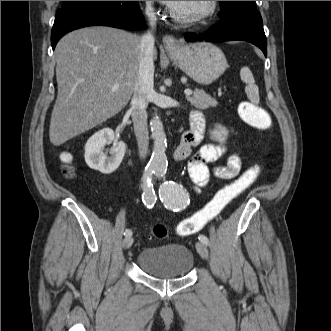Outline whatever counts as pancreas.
<instances>
[{
  "instance_id": "obj_1",
  "label": "pancreas",
  "mask_w": 331,
  "mask_h": 331,
  "mask_svg": "<svg viewBox=\"0 0 331 331\" xmlns=\"http://www.w3.org/2000/svg\"><path fill=\"white\" fill-rule=\"evenodd\" d=\"M187 101H189L193 106L199 109L215 107L218 104L217 100L206 94L204 90H195L193 96L187 97Z\"/></svg>"
}]
</instances>
